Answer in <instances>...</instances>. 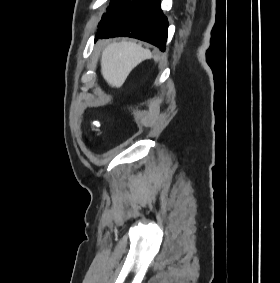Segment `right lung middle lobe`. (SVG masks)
I'll list each match as a JSON object with an SVG mask.
<instances>
[{
  "mask_svg": "<svg viewBox=\"0 0 280 283\" xmlns=\"http://www.w3.org/2000/svg\"><path fill=\"white\" fill-rule=\"evenodd\" d=\"M141 0H113L108 11L103 15L101 22L99 23V28H101L105 23H107L111 18L117 14L133 7Z\"/></svg>",
  "mask_w": 280,
  "mask_h": 283,
  "instance_id": "obj_1",
  "label": "right lung middle lobe"
}]
</instances>
